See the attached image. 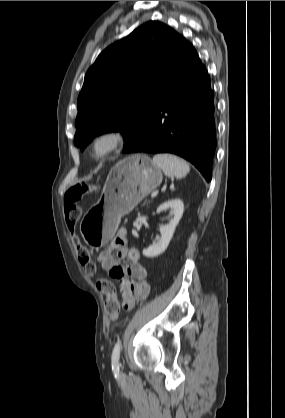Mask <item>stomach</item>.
<instances>
[{
	"label": "stomach",
	"mask_w": 285,
	"mask_h": 418,
	"mask_svg": "<svg viewBox=\"0 0 285 418\" xmlns=\"http://www.w3.org/2000/svg\"><path fill=\"white\" fill-rule=\"evenodd\" d=\"M163 179L161 168L145 154L120 160L110 171L97 203L80 223L84 241L94 247L106 245L114 236L121 217L128 214Z\"/></svg>",
	"instance_id": "stomach-1"
}]
</instances>
